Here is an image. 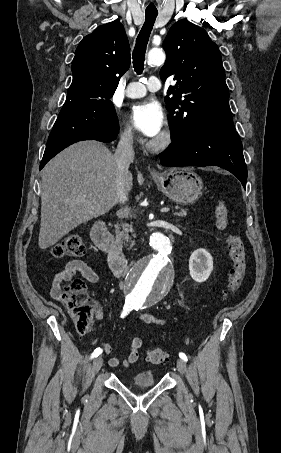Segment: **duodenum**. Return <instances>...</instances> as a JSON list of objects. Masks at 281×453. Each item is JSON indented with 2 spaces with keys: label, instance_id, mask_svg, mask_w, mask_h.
Instances as JSON below:
<instances>
[{
  "label": "duodenum",
  "instance_id": "410a0bca",
  "mask_svg": "<svg viewBox=\"0 0 281 453\" xmlns=\"http://www.w3.org/2000/svg\"><path fill=\"white\" fill-rule=\"evenodd\" d=\"M94 244L108 255L111 271L117 277L124 275L128 269V261L122 250L115 244L113 236L104 222L94 225L91 232Z\"/></svg>",
  "mask_w": 281,
  "mask_h": 453
}]
</instances>
